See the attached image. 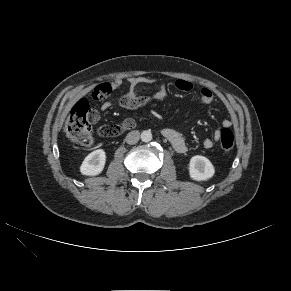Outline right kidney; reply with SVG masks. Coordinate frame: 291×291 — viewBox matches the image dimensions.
I'll return each instance as SVG.
<instances>
[{"label":"right kidney","mask_w":291,"mask_h":291,"mask_svg":"<svg viewBox=\"0 0 291 291\" xmlns=\"http://www.w3.org/2000/svg\"><path fill=\"white\" fill-rule=\"evenodd\" d=\"M106 162V154L102 149L91 152L82 162L80 172L83 175L95 176L103 171Z\"/></svg>","instance_id":"right-kidney-1"}]
</instances>
